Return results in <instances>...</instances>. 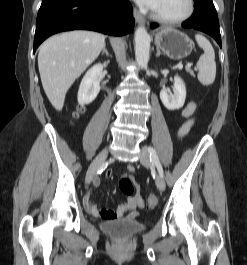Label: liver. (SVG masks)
<instances>
[{
	"label": "liver",
	"instance_id": "obj_1",
	"mask_svg": "<svg viewBox=\"0 0 247 265\" xmlns=\"http://www.w3.org/2000/svg\"><path fill=\"white\" fill-rule=\"evenodd\" d=\"M105 36L92 31H71L54 35L39 49L38 67L43 89L60 111L74 81L99 56Z\"/></svg>",
	"mask_w": 247,
	"mask_h": 265
}]
</instances>
